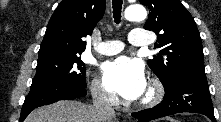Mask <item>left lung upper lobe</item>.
Segmentation results:
<instances>
[{
	"instance_id": "1",
	"label": "left lung upper lobe",
	"mask_w": 221,
	"mask_h": 122,
	"mask_svg": "<svg viewBox=\"0 0 221 122\" xmlns=\"http://www.w3.org/2000/svg\"><path fill=\"white\" fill-rule=\"evenodd\" d=\"M150 10L144 28L155 32L160 53L148 60L164 87L185 76H205L203 48L196 23L179 0H139Z\"/></svg>"
}]
</instances>
